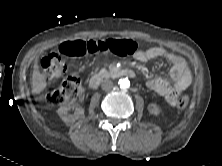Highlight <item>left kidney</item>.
I'll return each instance as SVG.
<instances>
[{
    "label": "left kidney",
    "instance_id": "5707ae66",
    "mask_svg": "<svg viewBox=\"0 0 222 166\" xmlns=\"http://www.w3.org/2000/svg\"><path fill=\"white\" fill-rule=\"evenodd\" d=\"M148 111H149L150 114L157 116V115L160 114L161 109L155 103H151V104L148 105Z\"/></svg>",
    "mask_w": 222,
    "mask_h": 166
}]
</instances>
